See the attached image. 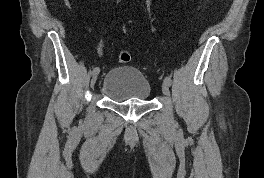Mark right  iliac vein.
<instances>
[{
	"label": "right iliac vein",
	"mask_w": 264,
	"mask_h": 178,
	"mask_svg": "<svg viewBox=\"0 0 264 178\" xmlns=\"http://www.w3.org/2000/svg\"><path fill=\"white\" fill-rule=\"evenodd\" d=\"M97 76L98 74H94L92 79H91V87H94L95 83H96V80H97Z\"/></svg>",
	"instance_id": "obj_1"
}]
</instances>
